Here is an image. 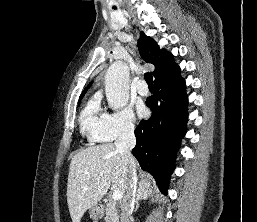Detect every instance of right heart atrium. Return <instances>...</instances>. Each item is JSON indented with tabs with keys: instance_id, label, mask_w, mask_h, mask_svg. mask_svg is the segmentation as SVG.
<instances>
[{
	"instance_id": "right-heart-atrium-1",
	"label": "right heart atrium",
	"mask_w": 257,
	"mask_h": 222,
	"mask_svg": "<svg viewBox=\"0 0 257 222\" xmlns=\"http://www.w3.org/2000/svg\"><path fill=\"white\" fill-rule=\"evenodd\" d=\"M112 117H120L122 123L118 126H112L110 120ZM135 131V117L131 109L124 108L118 110L113 116L105 115L100 138L103 141H113L118 138L131 136Z\"/></svg>"
}]
</instances>
